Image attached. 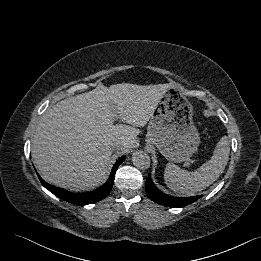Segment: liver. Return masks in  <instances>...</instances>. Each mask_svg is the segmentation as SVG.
<instances>
[{"label": "liver", "instance_id": "1", "mask_svg": "<svg viewBox=\"0 0 261 261\" xmlns=\"http://www.w3.org/2000/svg\"><path fill=\"white\" fill-rule=\"evenodd\" d=\"M169 84L120 83L71 96L48 109L32 139V158L50 184L75 192L102 185L111 167L112 144L129 151ZM126 124H114L116 118Z\"/></svg>", "mask_w": 261, "mask_h": 261}]
</instances>
